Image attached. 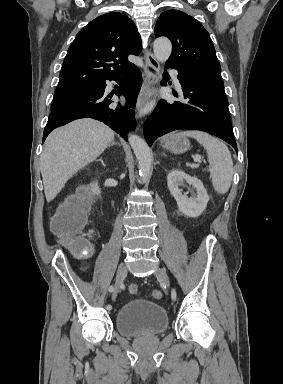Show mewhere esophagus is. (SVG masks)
<instances>
[{"mask_svg": "<svg viewBox=\"0 0 283 384\" xmlns=\"http://www.w3.org/2000/svg\"><path fill=\"white\" fill-rule=\"evenodd\" d=\"M144 58L147 64V69L145 70V79L143 87L146 88L147 86H155L159 81V62L155 59L154 55L148 50H145ZM147 98L148 97L144 92L140 93L136 104L137 109H139L146 103Z\"/></svg>", "mask_w": 283, "mask_h": 384, "instance_id": "obj_1", "label": "esophagus"}]
</instances>
